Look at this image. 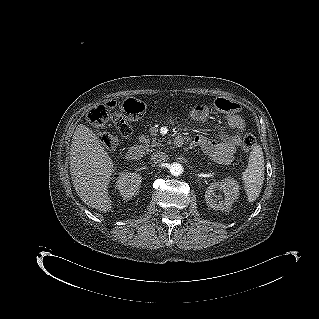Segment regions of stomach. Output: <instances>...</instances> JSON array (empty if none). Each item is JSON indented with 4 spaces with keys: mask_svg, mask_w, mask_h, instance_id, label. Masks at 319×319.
<instances>
[{
    "mask_svg": "<svg viewBox=\"0 0 319 319\" xmlns=\"http://www.w3.org/2000/svg\"><path fill=\"white\" fill-rule=\"evenodd\" d=\"M204 112H205V110H204L203 106L196 105V106L192 107V109H191V116L193 118L199 117L200 115H203Z\"/></svg>",
    "mask_w": 319,
    "mask_h": 319,
    "instance_id": "0dacf381",
    "label": "stomach"
}]
</instances>
